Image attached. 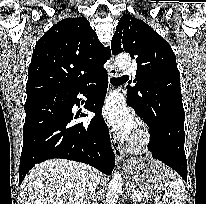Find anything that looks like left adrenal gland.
Here are the masks:
<instances>
[{
    "instance_id": "a2214340",
    "label": "left adrenal gland",
    "mask_w": 206,
    "mask_h": 204,
    "mask_svg": "<svg viewBox=\"0 0 206 204\" xmlns=\"http://www.w3.org/2000/svg\"><path fill=\"white\" fill-rule=\"evenodd\" d=\"M126 194H127V197L134 200V198L131 197V194H130V191L128 189V187H126Z\"/></svg>"
}]
</instances>
